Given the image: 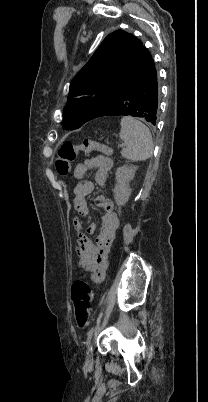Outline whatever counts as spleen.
Masks as SVG:
<instances>
[{"label":"spleen","mask_w":208,"mask_h":402,"mask_svg":"<svg viewBox=\"0 0 208 402\" xmlns=\"http://www.w3.org/2000/svg\"><path fill=\"white\" fill-rule=\"evenodd\" d=\"M120 124V140L125 142L121 152L123 158L132 162H143L151 158L153 142L149 128L131 116H124Z\"/></svg>","instance_id":"obj_1"}]
</instances>
